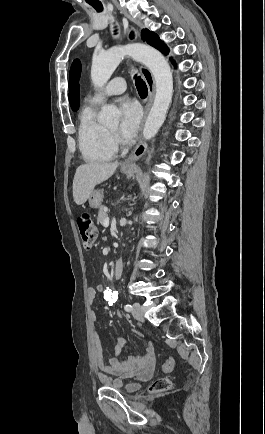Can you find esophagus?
<instances>
[{
    "label": "esophagus",
    "instance_id": "1",
    "mask_svg": "<svg viewBox=\"0 0 265 434\" xmlns=\"http://www.w3.org/2000/svg\"><path fill=\"white\" fill-rule=\"evenodd\" d=\"M137 38H138V32L135 27L131 26L127 31V39L129 42H135ZM140 70L148 87V100L144 107V115L141 123V129H143L148 112L154 100L155 83H154L153 75L150 72V70H148V68L144 67L143 65H140ZM146 149H147V143L142 139V137H140L136 147L132 150V152L127 157V159L123 162L121 167H125V168L131 167L134 164V162H136V160L140 159L142 155H144Z\"/></svg>",
    "mask_w": 265,
    "mask_h": 434
}]
</instances>
